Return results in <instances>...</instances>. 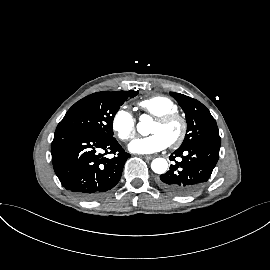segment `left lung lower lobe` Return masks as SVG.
Masks as SVG:
<instances>
[{
    "label": "left lung lower lobe",
    "mask_w": 270,
    "mask_h": 270,
    "mask_svg": "<svg viewBox=\"0 0 270 270\" xmlns=\"http://www.w3.org/2000/svg\"><path fill=\"white\" fill-rule=\"evenodd\" d=\"M220 146L195 144L178 148L169 158L174 161L170 170L160 175L159 185L175 195H189L201 188L210 178L219 158ZM181 157V161L175 160Z\"/></svg>",
    "instance_id": "1"
}]
</instances>
